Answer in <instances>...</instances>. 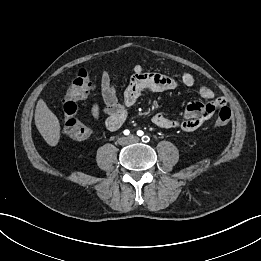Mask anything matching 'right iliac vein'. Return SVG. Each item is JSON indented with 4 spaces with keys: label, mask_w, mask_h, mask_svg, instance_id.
<instances>
[{
    "label": "right iliac vein",
    "mask_w": 261,
    "mask_h": 261,
    "mask_svg": "<svg viewBox=\"0 0 261 261\" xmlns=\"http://www.w3.org/2000/svg\"><path fill=\"white\" fill-rule=\"evenodd\" d=\"M118 142L122 145L126 144L128 142V138L126 137H121L119 138Z\"/></svg>",
    "instance_id": "63e3f726"
}]
</instances>
